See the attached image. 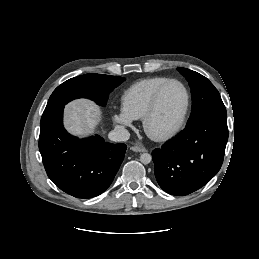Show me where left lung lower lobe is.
<instances>
[{
    "label": "left lung lower lobe",
    "instance_id": "obj_1",
    "mask_svg": "<svg viewBox=\"0 0 259 259\" xmlns=\"http://www.w3.org/2000/svg\"><path fill=\"white\" fill-rule=\"evenodd\" d=\"M227 140V116L211 115L187 124L177 137L152 152L160 187L177 196L203 187L220 170Z\"/></svg>",
    "mask_w": 259,
    "mask_h": 259
}]
</instances>
